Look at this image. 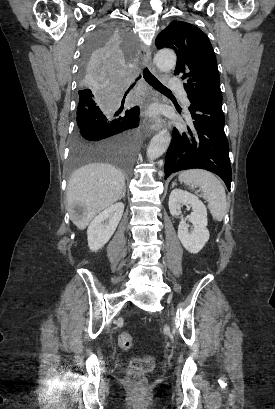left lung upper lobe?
<instances>
[{
  "mask_svg": "<svg viewBox=\"0 0 275 409\" xmlns=\"http://www.w3.org/2000/svg\"><path fill=\"white\" fill-rule=\"evenodd\" d=\"M158 49L167 47L177 54L175 75L186 80L189 100L222 105V93L215 53L208 37L196 26L172 21L156 38Z\"/></svg>",
  "mask_w": 275,
  "mask_h": 409,
  "instance_id": "obj_1",
  "label": "left lung upper lobe"
}]
</instances>
